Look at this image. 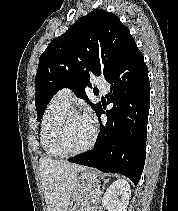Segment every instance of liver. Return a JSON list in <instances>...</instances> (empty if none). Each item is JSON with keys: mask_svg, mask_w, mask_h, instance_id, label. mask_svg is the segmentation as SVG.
<instances>
[{"mask_svg": "<svg viewBox=\"0 0 178 211\" xmlns=\"http://www.w3.org/2000/svg\"><path fill=\"white\" fill-rule=\"evenodd\" d=\"M86 168L67 161L41 157L39 170L47 211H67L77 174Z\"/></svg>", "mask_w": 178, "mask_h": 211, "instance_id": "obj_1", "label": "liver"}]
</instances>
